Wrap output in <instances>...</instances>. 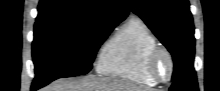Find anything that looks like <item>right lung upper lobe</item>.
I'll return each instance as SVG.
<instances>
[{"instance_id":"cb5924a9","label":"right lung upper lobe","mask_w":220,"mask_h":91,"mask_svg":"<svg viewBox=\"0 0 220 91\" xmlns=\"http://www.w3.org/2000/svg\"><path fill=\"white\" fill-rule=\"evenodd\" d=\"M128 12L124 0H40L35 25L69 22L116 27Z\"/></svg>"}]
</instances>
